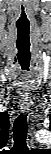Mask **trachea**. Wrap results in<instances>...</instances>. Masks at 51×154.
<instances>
[{
    "mask_svg": "<svg viewBox=\"0 0 51 154\" xmlns=\"http://www.w3.org/2000/svg\"><path fill=\"white\" fill-rule=\"evenodd\" d=\"M27 114H20L13 124V136L15 141H23L27 135Z\"/></svg>",
    "mask_w": 51,
    "mask_h": 154,
    "instance_id": "1",
    "label": "trachea"
}]
</instances>
